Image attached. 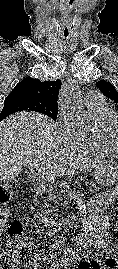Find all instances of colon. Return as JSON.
<instances>
[{
    "label": "colon",
    "mask_w": 118,
    "mask_h": 269,
    "mask_svg": "<svg viewBox=\"0 0 118 269\" xmlns=\"http://www.w3.org/2000/svg\"><path fill=\"white\" fill-rule=\"evenodd\" d=\"M12 190L10 186L0 185V209L10 200ZM118 227V221H117ZM32 257L30 241L22 235V224L14 220L9 226L8 238L0 253V269H20L30 262Z\"/></svg>",
    "instance_id": "1"
}]
</instances>
